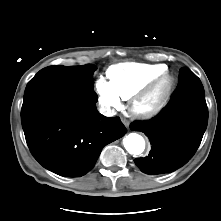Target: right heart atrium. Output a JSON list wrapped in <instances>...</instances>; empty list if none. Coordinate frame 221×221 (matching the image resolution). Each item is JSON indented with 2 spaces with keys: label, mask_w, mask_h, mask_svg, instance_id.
<instances>
[{
  "label": "right heart atrium",
  "mask_w": 221,
  "mask_h": 221,
  "mask_svg": "<svg viewBox=\"0 0 221 221\" xmlns=\"http://www.w3.org/2000/svg\"><path fill=\"white\" fill-rule=\"evenodd\" d=\"M95 90L98 95L99 103L107 114H114L120 107V97L114 91L109 82L99 78L95 83Z\"/></svg>",
  "instance_id": "1"
}]
</instances>
